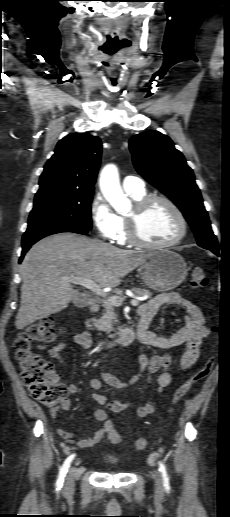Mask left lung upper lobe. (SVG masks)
I'll return each mask as SVG.
<instances>
[{"instance_id":"5c2ea615","label":"left lung upper lobe","mask_w":230,"mask_h":517,"mask_svg":"<svg viewBox=\"0 0 230 517\" xmlns=\"http://www.w3.org/2000/svg\"><path fill=\"white\" fill-rule=\"evenodd\" d=\"M129 147L138 173L178 206L191 225L198 245L218 249L193 171L172 140L150 130L134 135Z\"/></svg>"}]
</instances>
